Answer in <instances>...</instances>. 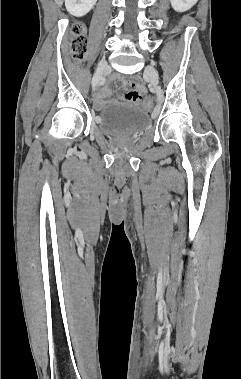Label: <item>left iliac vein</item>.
I'll return each instance as SVG.
<instances>
[{
    "instance_id": "1",
    "label": "left iliac vein",
    "mask_w": 241,
    "mask_h": 379,
    "mask_svg": "<svg viewBox=\"0 0 241 379\" xmlns=\"http://www.w3.org/2000/svg\"><path fill=\"white\" fill-rule=\"evenodd\" d=\"M145 74L154 87L158 84V73L153 65H148L145 68Z\"/></svg>"
}]
</instances>
